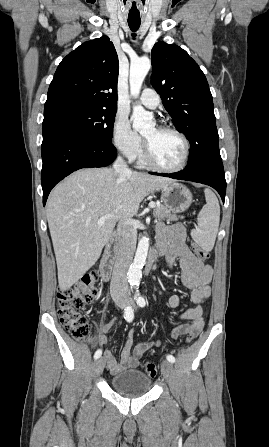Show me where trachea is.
<instances>
[{"label": "trachea", "instance_id": "1", "mask_svg": "<svg viewBox=\"0 0 269 447\" xmlns=\"http://www.w3.org/2000/svg\"><path fill=\"white\" fill-rule=\"evenodd\" d=\"M140 23H141V22H128V25H129L130 29H131L133 32H135V31H137L138 28L140 27ZM132 36L135 37L136 34L133 33Z\"/></svg>", "mask_w": 269, "mask_h": 447}]
</instances>
